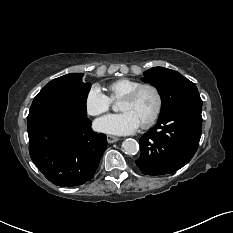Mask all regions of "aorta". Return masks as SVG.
Instances as JSON below:
<instances>
[{
    "mask_svg": "<svg viewBox=\"0 0 233 233\" xmlns=\"http://www.w3.org/2000/svg\"><path fill=\"white\" fill-rule=\"evenodd\" d=\"M115 108L116 107H114V110ZM122 149L128 155H135L139 151V144L136 140L129 138L123 141Z\"/></svg>",
    "mask_w": 233,
    "mask_h": 233,
    "instance_id": "aorta-1",
    "label": "aorta"
}]
</instances>
